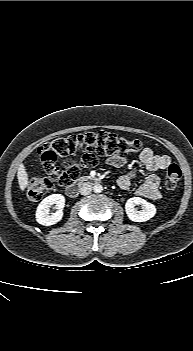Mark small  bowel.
I'll use <instances>...</instances> for the list:
<instances>
[{
  "mask_svg": "<svg viewBox=\"0 0 193 351\" xmlns=\"http://www.w3.org/2000/svg\"><path fill=\"white\" fill-rule=\"evenodd\" d=\"M140 161L145 166L148 174L143 181L136 187L135 194L150 200L161 199L159 189L160 180L156 172L164 170L170 163V158L164 154H155L152 149L144 148L140 155ZM106 163L113 167H123L127 164V159L123 155H110L106 157ZM137 170H133L126 175L119 177L117 183L122 190H130L133 180L137 177Z\"/></svg>",
  "mask_w": 193,
  "mask_h": 351,
  "instance_id": "1",
  "label": "small bowel"
}]
</instances>
